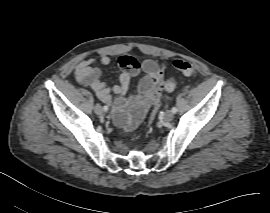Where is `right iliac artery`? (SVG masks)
I'll return each mask as SVG.
<instances>
[{"label":"right iliac artery","mask_w":270,"mask_h":213,"mask_svg":"<svg viewBox=\"0 0 270 213\" xmlns=\"http://www.w3.org/2000/svg\"><path fill=\"white\" fill-rule=\"evenodd\" d=\"M103 110H104V111H108V107H107V106H104V107H103Z\"/></svg>","instance_id":"1"}]
</instances>
